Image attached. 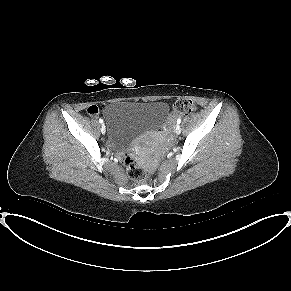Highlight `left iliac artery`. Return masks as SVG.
Returning <instances> with one entry per match:
<instances>
[{"mask_svg": "<svg viewBox=\"0 0 291 291\" xmlns=\"http://www.w3.org/2000/svg\"><path fill=\"white\" fill-rule=\"evenodd\" d=\"M181 123V118H178L177 119V124H180Z\"/></svg>", "mask_w": 291, "mask_h": 291, "instance_id": "1", "label": "left iliac artery"}]
</instances>
